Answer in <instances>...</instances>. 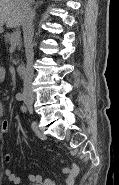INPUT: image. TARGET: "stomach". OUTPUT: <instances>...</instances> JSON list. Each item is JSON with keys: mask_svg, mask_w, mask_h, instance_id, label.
I'll use <instances>...</instances> for the list:
<instances>
[{"mask_svg": "<svg viewBox=\"0 0 119 185\" xmlns=\"http://www.w3.org/2000/svg\"><path fill=\"white\" fill-rule=\"evenodd\" d=\"M2 32V28L0 27V33Z\"/></svg>", "mask_w": 119, "mask_h": 185, "instance_id": "obj_1", "label": "stomach"}]
</instances>
